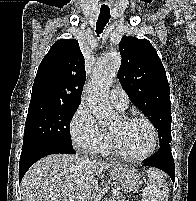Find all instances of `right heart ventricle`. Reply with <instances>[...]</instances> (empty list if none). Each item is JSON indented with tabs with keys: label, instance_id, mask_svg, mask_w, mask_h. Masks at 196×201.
I'll use <instances>...</instances> for the list:
<instances>
[{
	"label": "right heart ventricle",
	"instance_id": "e07e8e85",
	"mask_svg": "<svg viewBox=\"0 0 196 201\" xmlns=\"http://www.w3.org/2000/svg\"><path fill=\"white\" fill-rule=\"evenodd\" d=\"M111 150H112V147H111V144L109 143L107 148L102 153L107 154V153L111 152Z\"/></svg>",
	"mask_w": 196,
	"mask_h": 201
}]
</instances>
